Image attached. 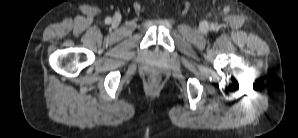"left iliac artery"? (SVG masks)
<instances>
[{"mask_svg": "<svg viewBox=\"0 0 298 138\" xmlns=\"http://www.w3.org/2000/svg\"><path fill=\"white\" fill-rule=\"evenodd\" d=\"M216 26L214 24L211 25V29L214 30Z\"/></svg>", "mask_w": 298, "mask_h": 138, "instance_id": "44dca946", "label": "left iliac artery"}]
</instances>
